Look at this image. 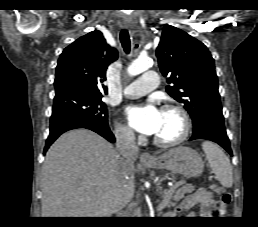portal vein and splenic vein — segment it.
<instances>
[{
	"instance_id": "18ae733b",
	"label": "portal vein and splenic vein",
	"mask_w": 258,
	"mask_h": 227,
	"mask_svg": "<svg viewBox=\"0 0 258 227\" xmlns=\"http://www.w3.org/2000/svg\"><path fill=\"white\" fill-rule=\"evenodd\" d=\"M184 181H179L175 184V186L171 187L170 189H168L166 192H164V198L163 201L157 206V210H162L163 208L166 207V204L168 202V200L170 199L173 191L175 188H177L179 185L183 184Z\"/></svg>"
}]
</instances>
